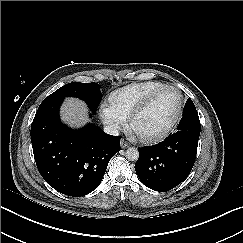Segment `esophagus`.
Wrapping results in <instances>:
<instances>
[{"mask_svg":"<svg viewBox=\"0 0 243 243\" xmlns=\"http://www.w3.org/2000/svg\"><path fill=\"white\" fill-rule=\"evenodd\" d=\"M120 145H121V148H123V149L130 146V144L124 139L121 140Z\"/></svg>","mask_w":243,"mask_h":243,"instance_id":"1","label":"esophagus"}]
</instances>
